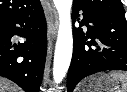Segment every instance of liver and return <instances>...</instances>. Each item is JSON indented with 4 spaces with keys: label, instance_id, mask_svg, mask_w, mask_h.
<instances>
[{
    "label": "liver",
    "instance_id": "liver-1",
    "mask_svg": "<svg viewBox=\"0 0 127 92\" xmlns=\"http://www.w3.org/2000/svg\"><path fill=\"white\" fill-rule=\"evenodd\" d=\"M0 92H22V90L8 79L0 77Z\"/></svg>",
    "mask_w": 127,
    "mask_h": 92
}]
</instances>
